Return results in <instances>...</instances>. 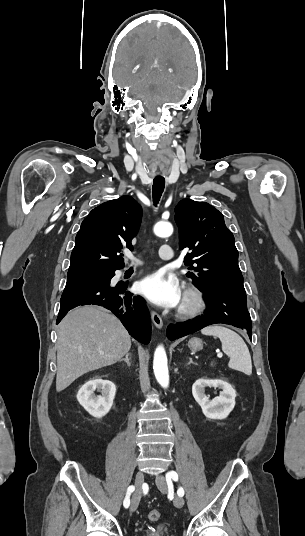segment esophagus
Returning a JSON list of instances; mask_svg holds the SVG:
<instances>
[{"instance_id":"obj_1","label":"esophagus","mask_w":305,"mask_h":536,"mask_svg":"<svg viewBox=\"0 0 305 536\" xmlns=\"http://www.w3.org/2000/svg\"><path fill=\"white\" fill-rule=\"evenodd\" d=\"M151 316H152V320H153V323L155 324L156 328H162L163 327V321H162V318L160 317V315L158 313H156L155 311H152L151 312Z\"/></svg>"}]
</instances>
